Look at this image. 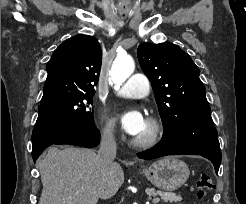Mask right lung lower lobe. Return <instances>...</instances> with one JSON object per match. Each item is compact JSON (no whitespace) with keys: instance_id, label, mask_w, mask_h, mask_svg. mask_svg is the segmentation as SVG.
Instances as JSON below:
<instances>
[{"instance_id":"98d812e1","label":"right lung lower lobe","mask_w":246,"mask_h":204,"mask_svg":"<svg viewBox=\"0 0 246 204\" xmlns=\"http://www.w3.org/2000/svg\"><path fill=\"white\" fill-rule=\"evenodd\" d=\"M100 133L94 124L56 126L36 124L32 134V157L34 162L42 151L53 144H72L92 148L98 145Z\"/></svg>"}]
</instances>
